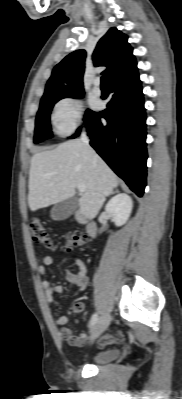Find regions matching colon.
I'll return each instance as SVG.
<instances>
[{"label": "colon", "instance_id": "1", "mask_svg": "<svg viewBox=\"0 0 182 399\" xmlns=\"http://www.w3.org/2000/svg\"><path fill=\"white\" fill-rule=\"evenodd\" d=\"M30 234L32 239L45 247L52 248L54 246L46 227L43 222L35 218L30 223ZM88 245V238L83 233H70L65 237L64 247L70 249L72 247L85 248Z\"/></svg>", "mask_w": 182, "mask_h": 399}]
</instances>
